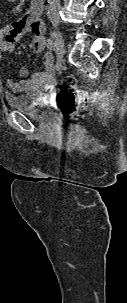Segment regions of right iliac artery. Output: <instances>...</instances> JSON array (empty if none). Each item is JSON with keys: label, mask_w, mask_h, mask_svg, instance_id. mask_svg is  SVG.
Returning <instances> with one entry per match:
<instances>
[{"label": "right iliac artery", "mask_w": 127, "mask_h": 303, "mask_svg": "<svg viewBox=\"0 0 127 303\" xmlns=\"http://www.w3.org/2000/svg\"><path fill=\"white\" fill-rule=\"evenodd\" d=\"M47 48L49 49V50H53L54 48H55V43H54V41L52 40V39H47Z\"/></svg>", "instance_id": "obj_1"}]
</instances>
